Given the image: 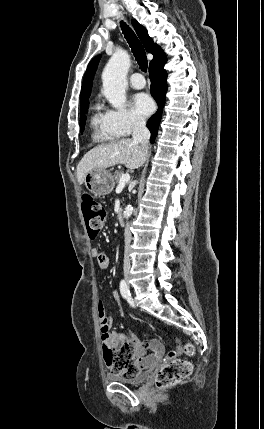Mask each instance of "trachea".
I'll return each mask as SVG.
<instances>
[{
	"label": "trachea",
	"mask_w": 264,
	"mask_h": 429,
	"mask_svg": "<svg viewBox=\"0 0 264 429\" xmlns=\"http://www.w3.org/2000/svg\"><path fill=\"white\" fill-rule=\"evenodd\" d=\"M121 29L127 40V43L129 44L135 56L138 65L140 66V69L146 72L148 67V61L142 43L139 41L133 30L123 22H121Z\"/></svg>",
	"instance_id": "trachea-1"
}]
</instances>
